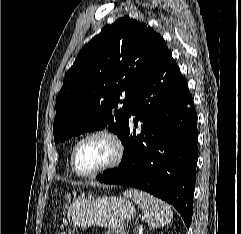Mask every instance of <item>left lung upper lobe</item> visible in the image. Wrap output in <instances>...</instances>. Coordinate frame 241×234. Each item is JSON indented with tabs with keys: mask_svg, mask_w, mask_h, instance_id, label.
<instances>
[{
	"mask_svg": "<svg viewBox=\"0 0 241 234\" xmlns=\"http://www.w3.org/2000/svg\"><path fill=\"white\" fill-rule=\"evenodd\" d=\"M165 48L143 22L124 16L106 25L65 75L56 98L54 141L107 126L123 142L132 98Z\"/></svg>",
	"mask_w": 241,
	"mask_h": 234,
	"instance_id": "left-lung-upper-lobe-1",
	"label": "left lung upper lobe"
}]
</instances>
